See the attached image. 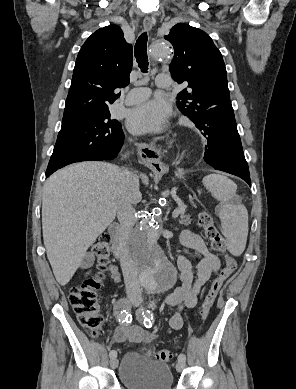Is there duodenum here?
<instances>
[{
	"mask_svg": "<svg viewBox=\"0 0 296 389\" xmlns=\"http://www.w3.org/2000/svg\"><path fill=\"white\" fill-rule=\"evenodd\" d=\"M109 234L112 238L114 256L121 264H125L128 261V252L124 240L120 235L119 227L116 223L109 226Z\"/></svg>",
	"mask_w": 296,
	"mask_h": 389,
	"instance_id": "obj_1",
	"label": "duodenum"
}]
</instances>
